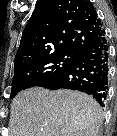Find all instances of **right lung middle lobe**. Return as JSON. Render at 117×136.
Returning <instances> with one entry per match:
<instances>
[{"label":"right lung middle lobe","mask_w":117,"mask_h":136,"mask_svg":"<svg viewBox=\"0 0 117 136\" xmlns=\"http://www.w3.org/2000/svg\"><path fill=\"white\" fill-rule=\"evenodd\" d=\"M76 53L63 51L33 60L20 66L14 72L11 98L22 90L38 86L61 71L75 57Z\"/></svg>","instance_id":"dd1d6c3e"}]
</instances>
